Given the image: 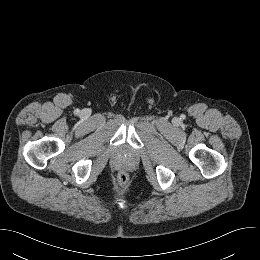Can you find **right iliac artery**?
Segmentation results:
<instances>
[{
    "instance_id": "obj_1",
    "label": "right iliac artery",
    "mask_w": 260,
    "mask_h": 260,
    "mask_svg": "<svg viewBox=\"0 0 260 260\" xmlns=\"http://www.w3.org/2000/svg\"><path fill=\"white\" fill-rule=\"evenodd\" d=\"M79 112H80V111L77 109V110L75 111V114H79Z\"/></svg>"
}]
</instances>
